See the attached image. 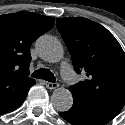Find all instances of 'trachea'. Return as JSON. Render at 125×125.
Wrapping results in <instances>:
<instances>
[{"label": "trachea", "mask_w": 125, "mask_h": 125, "mask_svg": "<svg viewBox=\"0 0 125 125\" xmlns=\"http://www.w3.org/2000/svg\"><path fill=\"white\" fill-rule=\"evenodd\" d=\"M31 76L33 78L44 79L52 83L56 81L55 76L49 69H38L34 71Z\"/></svg>", "instance_id": "3493384b"}]
</instances>
